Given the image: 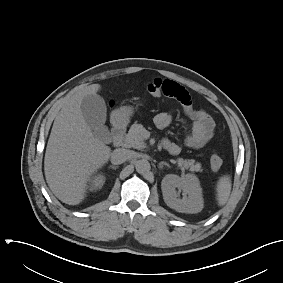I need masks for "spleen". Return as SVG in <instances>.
I'll use <instances>...</instances> for the list:
<instances>
[{
	"mask_svg": "<svg viewBox=\"0 0 283 283\" xmlns=\"http://www.w3.org/2000/svg\"><path fill=\"white\" fill-rule=\"evenodd\" d=\"M231 178L228 175H224L219 178L216 185V197L218 204L223 206L227 203L230 193H231Z\"/></svg>",
	"mask_w": 283,
	"mask_h": 283,
	"instance_id": "spleen-1",
	"label": "spleen"
}]
</instances>
